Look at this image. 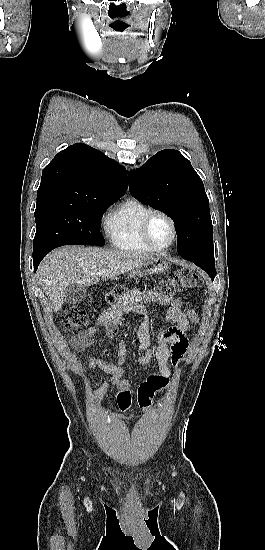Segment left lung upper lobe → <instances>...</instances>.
I'll use <instances>...</instances> for the list:
<instances>
[{
	"label": "left lung upper lobe",
	"instance_id": "obj_1",
	"mask_svg": "<svg viewBox=\"0 0 265 550\" xmlns=\"http://www.w3.org/2000/svg\"><path fill=\"white\" fill-rule=\"evenodd\" d=\"M129 190L136 199L172 218L178 253L185 259L214 252L209 200L189 160L177 150H163L139 170H130Z\"/></svg>",
	"mask_w": 265,
	"mask_h": 550
}]
</instances>
